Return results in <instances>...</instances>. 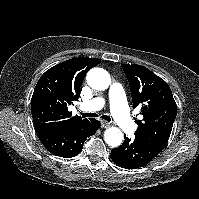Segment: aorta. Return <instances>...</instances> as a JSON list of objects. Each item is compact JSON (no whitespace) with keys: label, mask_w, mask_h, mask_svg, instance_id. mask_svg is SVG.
<instances>
[{"label":"aorta","mask_w":199,"mask_h":199,"mask_svg":"<svg viewBox=\"0 0 199 199\" xmlns=\"http://www.w3.org/2000/svg\"><path fill=\"white\" fill-rule=\"evenodd\" d=\"M88 85L96 90H105L111 83L109 73L103 68H93L86 76ZM105 142L111 147H118L123 141V133L117 127H110L104 134Z\"/></svg>","instance_id":"1"}]
</instances>
